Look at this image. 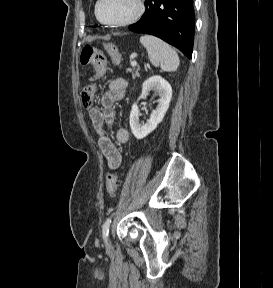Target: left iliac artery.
Wrapping results in <instances>:
<instances>
[{"instance_id":"left-iliac-artery-1","label":"left iliac artery","mask_w":273,"mask_h":288,"mask_svg":"<svg viewBox=\"0 0 273 288\" xmlns=\"http://www.w3.org/2000/svg\"><path fill=\"white\" fill-rule=\"evenodd\" d=\"M110 223H111V217L107 218L102 226V235L105 243H107L108 240Z\"/></svg>"}]
</instances>
